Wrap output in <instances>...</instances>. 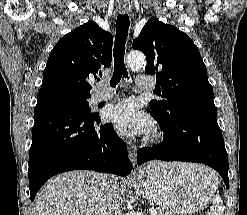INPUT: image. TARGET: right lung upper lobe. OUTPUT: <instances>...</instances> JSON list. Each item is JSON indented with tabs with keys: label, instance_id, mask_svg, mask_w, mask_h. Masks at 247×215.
Listing matches in <instances>:
<instances>
[{
	"label": "right lung upper lobe",
	"instance_id": "obj_1",
	"mask_svg": "<svg viewBox=\"0 0 247 215\" xmlns=\"http://www.w3.org/2000/svg\"><path fill=\"white\" fill-rule=\"evenodd\" d=\"M113 37L95 22H88L61 38L52 49L42 89L63 88L90 95L88 79L112 61Z\"/></svg>",
	"mask_w": 247,
	"mask_h": 215
}]
</instances>
